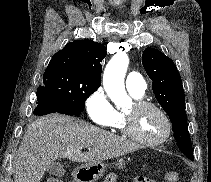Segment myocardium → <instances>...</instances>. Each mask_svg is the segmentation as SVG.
Returning a JSON list of instances; mask_svg holds the SVG:
<instances>
[{"label": "myocardium", "instance_id": "1", "mask_svg": "<svg viewBox=\"0 0 211 182\" xmlns=\"http://www.w3.org/2000/svg\"><path fill=\"white\" fill-rule=\"evenodd\" d=\"M133 106L136 111H139V110H142L145 108H152V109L156 110L161 115V117L165 123V130H164L163 134L158 139L145 140V139L141 138L135 132L133 117L130 114L125 113L124 114V123H125L124 131H125V133L131 139H133L137 143L144 145V146L153 147V146H159V145H162L163 143H165L169 139L171 132H172V123H171V120H170L168 114L166 113V111L158 104L151 102V101L142 100V99L135 101Z\"/></svg>", "mask_w": 211, "mask_h": 182}]
</instances>
